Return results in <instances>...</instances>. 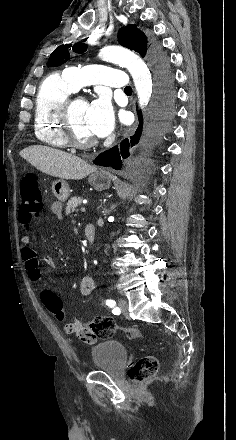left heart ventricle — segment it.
<instances>
[{
	"mask_svg": "<svg viewBox=\"0 0 236 440\" xmlns=\"http://www.w3.org/2000/svg\"><path fill=\"white\" fill-rule=\"evenodd\" d=\"M87 107L88 103L86 101L78 100L73 105L71 112L74 131L76 136L81 140L94 138L91 128L86 120Z\"/></svg>",
	"mask_w": 236,
	"mask_h": 440,
	"instance_id": "left-heart-ventricle-1",
	"label": "left heart ventricle"
}]
</instances>
